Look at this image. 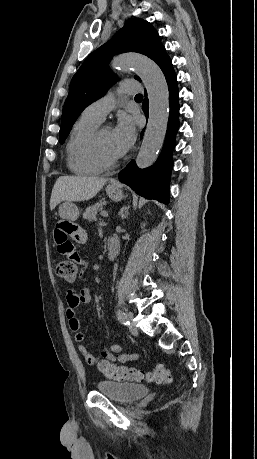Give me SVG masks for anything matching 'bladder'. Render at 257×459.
<instances>
[{"label": "bladder", "mask_w": 257, "mask_h": 459, "mask_svg": "<svg viewBox=\"0 0 257 459\" xmlns=\"http://www.w3.org/2000/svg\"><path fill=\"white\" fill-rule=\"evenodd\" d=\"M96 388L98 392L123 404L133 403L148 394V387L138 383L101 380Z\"/></svg>", "instance_id": "31cf9c89"}]
</instances>
